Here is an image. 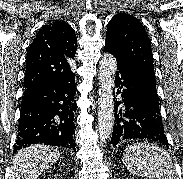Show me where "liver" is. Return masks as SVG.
I'll return each mask as SVG.
<instances>
[{
  "label": "liver",
  "mask_w": 183,
  "mask_h": 179,
  "mask_svg": "<svg viewBox=\"0 0 183 179\" xmlns=\"http://www.w3.org/2000/svg\"><path fill=\"white\" fill-rule=\"evenodd\" d=\"M60 158V152L50 146L33 145L21 149L13 157L10 179H37Z\"/></svg>",
  "instance_id": "obj_1"
}]
</instances>
